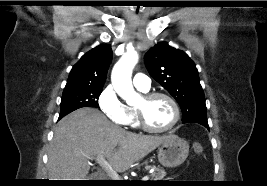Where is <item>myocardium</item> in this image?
Here are the masks:
<instances>
[{
	"instance_id": "1",
	"label": "myocardium",
	"mask_w": 267,
	"mask_h": 186,
	"mask_svg": "<svg viewBox=\"0 0 267 186\" xmlns=\"http://www.w3.org/2000/svg\"><path fill=\"white\" fill-rule=\"evenodd\" d=\"M158 97H163L171 103L172 108H173V112H174V116H173L171 123L169 125H167L166 127L153 128V127H150L146 121L144 107L143 106L136 107V115H137V119H138V125L141 129H143L144 131L149 132V133L168 132V131L172 130L178 124V122L180 120V116H181L180 107H179L177 101L170 94L165 93V92H160V91L147 92L143 96V101H144V103H148L151 100L158 98Z\"/></svg>"
}]
</instances>
